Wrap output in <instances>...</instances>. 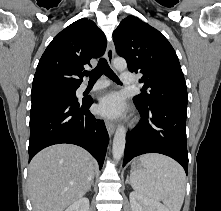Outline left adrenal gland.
I'll return each instance as SVG.
<instances>
[{
    "label": "left adrenal gland",
    "mask_w": 221,
    "mask_h": 211,
    "mask_svg": "<svg viewBox=\"0 0 221 211\" xmlns=\"http://www.w3.org/2000/svg\"><path fill=\"white\" fill-rule=\"evenodd\" d=\"M127 183H129V177H128V176H127V179H126V184H127Z\"/></svg>",
    "instance_id": "a2214340"
}]
</instances>
